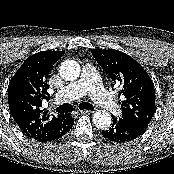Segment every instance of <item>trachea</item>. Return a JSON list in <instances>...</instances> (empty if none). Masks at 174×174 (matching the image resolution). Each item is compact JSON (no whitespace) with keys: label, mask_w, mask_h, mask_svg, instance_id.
Masks as SVG:
<instances>
[{"label":"trachea","mask_w":174,"mask_h":174,"mask_svg":"<svg viewBox=\"0 0 174 174\" xmlns=\"http://www.w3.org/2000/svg\"><path fill=\"white\" fill-rule=\"evenodd\" d=\"M80 109H85V110H93L94 106L88 102H83L79 104ZM73 106L71 104H63L55 109L56 112L58 113H68L72 112Z\"/></svg>","instance_id":"3493384b"}]
</instances>
